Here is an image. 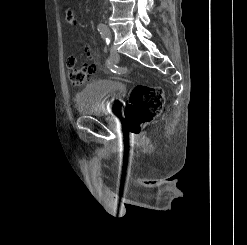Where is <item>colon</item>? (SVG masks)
I'll return each mask as SVG.
<instances>
[{"mask_svg":"<svg viewBox=\"0 0 247 245\" xmlns=\"http://www.w3.org/2000/svg\"><path fill=\"white\" fill-rule=\"evenodd\" d=\"M85 51L88 52V49L86 48ZM75 62L74 57H68L66 60L68 79L74 85H82L95 73L96 66L87 63L81 68H76ZM163 104L164 93L160 88L136 85L130 93L125 112L128 130L134 133L139 132L146 123L161 113Z\"/></svg>","mask_w":247,"mask_h":245,"instance_id":"obj_1","label":"colon"}]
</instances>
